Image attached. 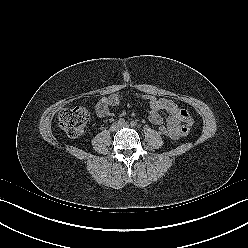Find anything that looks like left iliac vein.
Wrapping results in <instances>:
<instances>
[{"label": "left iliac vein", "instance_id": "obj_1", "mask_svg": "<svg viewBox=\"0 0 248 248\" xmlns=\"http://www.w3.org/2000/svg\"><path fill=\"white\" fill-rule=\"evenodd\" d=\"M120 127H129V124L128 123H123V124H120Z\"/></svg>", "mask_w": 248, "mask_h": 248}]
</instances>
